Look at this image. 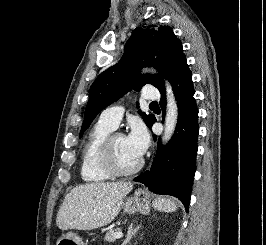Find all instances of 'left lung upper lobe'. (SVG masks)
Masks as SVG:
<instances>
[{
    "label": "left lung upper lobe",
    "instance_id": "obj_1",
    "mask_svg": "<svg viewBox=\"0 0 266 245\" xmlns=\"http://www.w3.org/2000/svg\"><path fill=\"white\" fill-rule=\"evenodd\" d=\"M184 58L182 43L171 27H137L125 44L120 61L102 72L91 85L80 137L102 109L130 89L140 90L145 84H152L158 90L164 87L160 76L139 74L140 68L151 65L169 79L176 65ZM138 113L149 126L154 115L142 114L140 110Z\"/></svg>",
    "mask_w": 266,
    "mask_h": 245
}]
</instances>
